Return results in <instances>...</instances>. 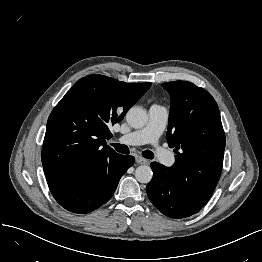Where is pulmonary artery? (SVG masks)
<instances>
[{
    "label": "pulmonary artery",
    "mask_w": 262,
    "mask_h": 262,
    "mask_svg": "<svg viewBox=\"0 0 262 262\" xmlns=\"http://www.w3.org/2000/svg\"><path fill=\"white\" fill-rule=\"evenodd\" d=\"M168 120V110L166 107L154 104L148 111V122L139 130L125 134L120 141L129 145H155V151L160 163L170 166L174 163L173 154L158 145Z\"/></svg>",
    "instance_id": "1"
}]
</instances>
